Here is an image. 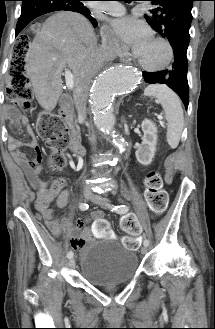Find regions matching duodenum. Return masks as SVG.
Here are the masks:
<instances>
[{"label":"duodenum","mask_w":215,"mask_h":329,"mask_svg":"<svg viewBox=\"0 0 215 329\" xmlns=\"http://www.w3.org/2000/svg\"><path fill=\"white\" fill-rule=\"evenodd\" d=\"M59 114L66 122L67 126L72 129L73 101L70 95H62ZM69 149L74 155L77 156L83 155L85 152L84 147L81 144L80 136L76 131L71 130L70 132Z\"/></svg>","instance_id":"duodenum-1"}]
</instances>
